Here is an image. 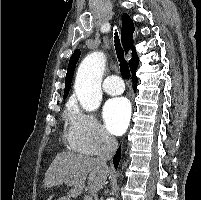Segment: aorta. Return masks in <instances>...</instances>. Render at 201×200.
Instances as JSON below:
<instances>
[{"label":"aorta","instance_id":"762f6f07","mask_svg":"<svg viewBox=\"0 0 201 200\" xmlns=\"http://www.w3.org/2000/svg\"><path fill=\"white\" fill-rule=\"evenodd\" d=\"M105 63V55L96 51L86 56L78 68L74 89L80 105L86 111H94L101 104V82Z\"/></svg>","mask_w":201,"mask_h":200}]
</instances>
